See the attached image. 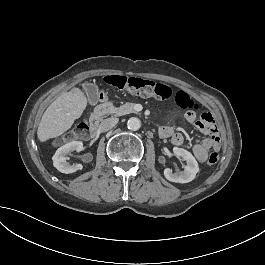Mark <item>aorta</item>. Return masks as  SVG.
I'll use <instances>...</instances> for the list:
<instances>
[{"mask_svg": "<svg viewBox=\"0 0 265 265\" xmlns=\"http://www.w3.org/2000/svg\"><path fill=\"white\" fill-rule=\"evenodd\" d=\"M127 127L132 131H137L141 127V121L136 117H131L127 121Z\"/></svg>", "mask_w": 265, "mask_h": 265, "instance_id": "obj_1", "label": "aorta"}]
</instances>
